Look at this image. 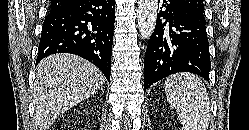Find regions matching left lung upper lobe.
Segmentation results:
<instances>
[{"instance_id": "1", "label": "left lung upper lobe", "mask_w": 249, "mask_h": 130, "mask_svg": "<svg viewBox=\"0 0 249 130\" xmlns=\"http://www.w3.org/2000/svg\"><path fill=\"white\" fill-rule=\"evenodd\" d=\"M187 6L192 8L193 10L204 13V4L203 0H182Z\"/></svg>"}]
</instances>
